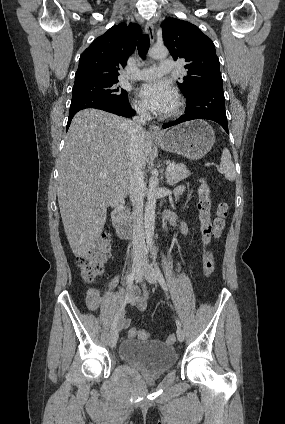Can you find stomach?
I'll return each mask as SVG.
<instances>
[{
  "mask_svg": "<svg viewBox=\"0 0 285 424\" xmlns=\"http://www.w3.org/2000/svg\"><path fill=\"white\" fill-rule=\"evenodd\" d=\"M155 140L166 151L188 159H200L211 150L215 133L207 122L195 120L173 127L163 138Z\"/></svg>",
  "mask_w": 285,
  "mask_h": 424,
  "instance_id": "0dacf381",
  "label": "stomach"
}]
</instances>
